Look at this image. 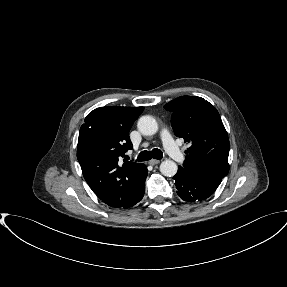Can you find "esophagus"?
I'll return each mask as SVG.
<instances>
[{"mask_svg":"<svg viewBox=\"0 0 287 287\" xmlns=\"http://www.w3.org/2000/svg\"><path fill=\"white\" fill-rule=\"evenodd\" d=\"M159 163H160V160H156V159H152V160L149 161L150 165H157Z\"/></svg>","mask_w":287,"mask_h":287,"instance_id":"1","label":"esophagus"}]
</instances>
